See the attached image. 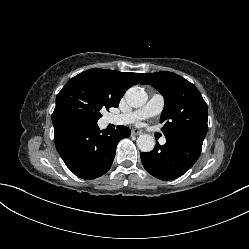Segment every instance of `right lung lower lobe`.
Instances as JSON below:
<instances>
[{"instance_id":"obj_1","label":"right lung lower lobe","mask_w":249,"mask_h":249,"mask_svg":"<svg viewBox=\"0 0 249 249\" xmlns=\"http://www.w3.org/2000/svg\"><path fill=\"white\" fill-rule=\"evenodd\" d=\"M54 140L66 166L80 178L94 179L111 167L118 142L129 137L128 127L100 131L89 123L67 113L52 114Z\"/></svg>"}]
</instances>
